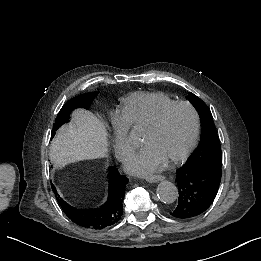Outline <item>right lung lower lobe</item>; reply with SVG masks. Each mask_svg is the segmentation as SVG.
I'll list each match as a JSON object with an SVG mask.
<instances>
[{
    "mask_svg": "<svg viewBox=\"0 0 261 261\" xmlns=\"http://www.w3.org/2000/svg\"><path fill=\"white\" fill-rule=\"evenodd\" d=\"M109 171V199L96 209H79L66 203L57 194L56 199L62 210L75 224L87 229H103L116 223L123 214V199L128 179L120 175L116 167ZM55 189V187L53 186Z\"/></svg>",
    "mask_w": 261,
    "mask_h": 261,
    "instance_id": "98d812e1",
    "label": "right lung lower lobe"
}]
</instances>
